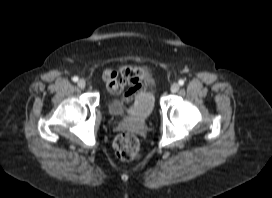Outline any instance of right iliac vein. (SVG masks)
<instances>
[{"instance_id":"63e3f726","label":"right iliac vein","mask_w":272,"mask_h":198,"mask_svg":"<svg viewBox=\"0 0 272 198\" xmlns=\"http://www.w3.org/2000/svg\"><path fill=\"white\" fill-rule=\"evenodd\" d=\"M78 86H79L80 88H85V86H86V81H85L84 79H80V80L78 81Z\"/></svg>"}]
</instances>
